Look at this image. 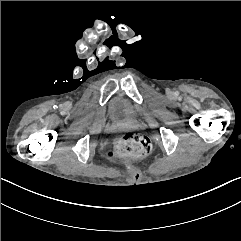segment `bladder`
Returning <instances> with one entry per match:
<instances>
[{"label":"bladder","instance_id":"31cf9c89","mask_svg":"<svg viewBox=\"0 0 241 241\" xmlns=\"http://www.w3.org/2000/svg\"><path fill=\"white\" fill-rule=\"evenodd\" d=\"M110 113L116 122H131L136 118L132 105L123 97H116L111 102Z\"/></svg>","mask_w":241,"mask_h":241}]
</instances>
